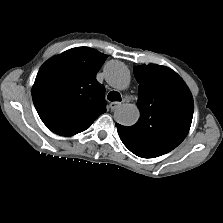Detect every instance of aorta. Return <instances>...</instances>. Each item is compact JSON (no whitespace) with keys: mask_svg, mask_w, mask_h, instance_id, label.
Wrapping results in <instances>:
<instances>
[{"mask_svg":"<svg viewBox=\"0 0 223 223\" xmlns=\"http://www.w3.org/2000/svg\"><path fill=\"white\" fill-rule=\"evenodd\" d=\"M104 73L107 83L118 90H124L130 83V72L126 65L117 60L106 63ZM140 117V111L134 104H122L114 112V119L123 126L135 124Z\"/></svg>","mask_w":223,"mask_h":223,"instance_id":"762f6f07","label":"aorta"}]
</instances>
